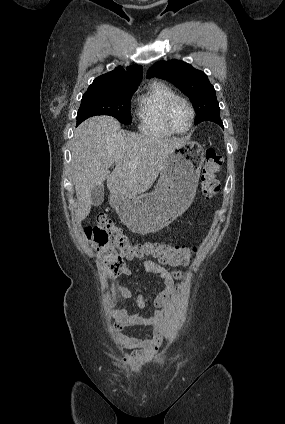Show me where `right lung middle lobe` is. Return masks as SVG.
<instances>
[{"label":"right lung middle lobe","mask_w":285,"mask_h":424,"mask_svg":"<svg viewBox=\"0 0 285 424\" xmlns=\"http://www.w3.org/2000/svg\"><path fill=\"white\" fill-rule=\"evenodd\" d=\"M137 86L88 89L77 113V125L95 115H109L123 124H130V101Z\"/></svg>","instance_id":"dd1d6c3e"}]
</instances>
